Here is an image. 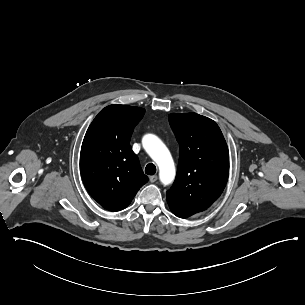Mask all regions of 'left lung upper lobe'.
Masks as SVG:
<instances>
[{
	"label": "left lung upper lobe",
	"mask_w": 305,
	"mask_h": 305,
	"mask_svg": "<svg viewBox=\"0 0 305 305\" xmlns=\"http://www.w3.org/2000/svg\"><path fill=\"white\" fill-rule=\"evenodd\" d=\"M180 144L176 179L167 191L170 208L193 215L210 207L229 175L228 147L213 120L197 113L169 115Z\"/></svg>",
	"instance_id": "1"
}]
</instances>
